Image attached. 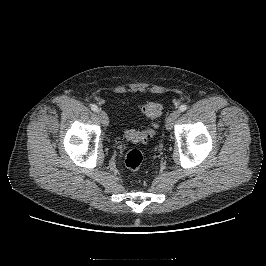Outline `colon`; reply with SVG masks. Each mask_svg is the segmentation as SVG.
I'll use <instances>...</instances> for the list:
<instances>
[{
  "mask_svg": "<svg viewBox=\"0 0 266 266\" xmlns=\"http://www.w3.org/2000/svg\"><path fill=\"white\" fill-rule=\"evenodd\" d=\"M143 114L151 120H155L161 114V105L156 102H146L141 108ZM156 132V124L151 123L148 127L143 130L126 131V137L135 143H146L151 139ZM143 155L140 150L132 149L130 150L125 158V166L133 172H136L142 165Z\"/></svg>",
  "mask_w": 266,
  "mask_h": 266,
  "instance_id": "colon-1",
  "label": "colon"
}]
</instances>
